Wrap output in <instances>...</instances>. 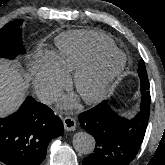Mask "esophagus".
<instances>
[{
  "label": "esophagus",
  "mask_w": 165,
  "mask_h": 165,
  "mask_svg": "<svg viewBox=\"0 0 165 165\" xmlns=\"http://www.w3.org/2000/svg\"><path fill=\"white\" fill-rule=\"evenodd\" d=\"M63 125L65 130L67 131H73L76 127V121L72 117H65L63 118Z\"/></svg>",
  "instance_id": "34e87169"
}]
</instances>
